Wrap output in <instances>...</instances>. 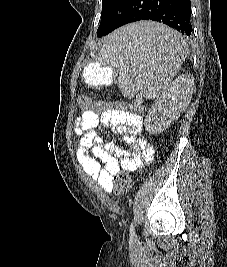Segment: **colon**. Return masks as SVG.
Returning <instances> with one entry per match:
<instances>
[{"mask_svg":"<svg viewBox=\"0 0 227 267\" xmlns=\"http://www.w3.org/2000/svg\"><path fill=\"white\" fill-rule=\"evenodd\" d=\"M81 109H89L99 112L102 109H122V113H132L133 116H143L149 112L148 104H127L126 100H94L93 102L86 96L78 99ZM114 178V192L117 195L126 193L131 186V170L119 169L118 173H112Z\"/></svg>","mask_w":227,"mask_h":267,"instance_id":"1","label":"colon"}]
</instances>
